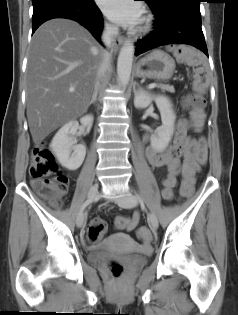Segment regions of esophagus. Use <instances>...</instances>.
Here are the masks:
<instances>
[{
    "instance_id": "34e87169",
    "label": "esophagus",
    "mask_w": 238,
    "mask_h": 315,
    "mask_svg": "<svg viewBox=\"0 0 238 315\" xmlns=\"http://www.w3.org/2000/svg\"><path fill=\"white\" fill-rule=\"evenodd\" d=\"M123 42H124V38L122 36L115 37L114 43H113L114 49L117 51L120 48V46L123 44Z\"/></svg>"
}]
</instances>
